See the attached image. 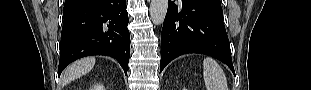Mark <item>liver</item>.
I'll return each mask as SVG.
<instances>
[{
	"label": "liver",
	"instance_id": "liver-1",
	"mask_svg": "<svg viewBox=\"0 0 311 90\" xmlns=\"http://www.w3.org/2000/svg\"><path fill=\"white\" fill-rule=\"evenodd\" d=\"M95 65L94 57L82 58L72 63L64 72L63 83L67 84L87 73H89Z\"/></svg>",
	"mask_w": 311,
	"mask_h": 90
}]
</instances>
